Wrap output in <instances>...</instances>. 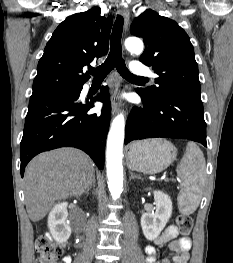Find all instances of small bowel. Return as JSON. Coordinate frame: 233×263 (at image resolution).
<instances>
[{
    "label": "small bowel",
    "mask_w": 233,
    "mask_h": 263,
    "mask_svg": "<svg viewBox=\"0 0 233 263\" xmlns=\"http://www.w3.org/2000/svg\"><path fill=\"white\" fill-rule=\"evenodd\" d=\"M163 244H168L169 250L175 253L171 259L166 257L159 260L157 258V249L155 245ZM191 247V238L185 234H182L176 225H170L159 237L154 240V245L145 246V263H188ZM71 262V257L65 256L61 263Z\"/></svg>",
    "instance_id": "1"
}]
</instances>
